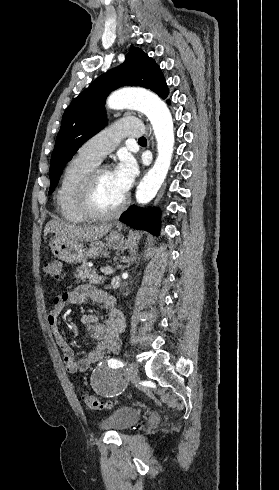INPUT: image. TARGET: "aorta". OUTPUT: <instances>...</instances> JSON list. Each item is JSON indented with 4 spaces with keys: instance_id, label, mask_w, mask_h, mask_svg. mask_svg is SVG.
Instances as JSON below:
<instances>
[{
    "instance_id": "762f6f07",
    "label": "aorta",
    "mask_w": 279,
    "mask_h": 490,
    "mask_svg": "<svg viewBox=\"0 0 279 490\" xmlns=\"http://www.w3.org/2000/svg\"><path fill=\"white\" fill-rule=\"evenodd\" d=\"M106 105L110 109L139 110L151 122L158 154L153 167L143 177L136 190L137 202L146 204L156 196L170 168L175 143L171 113L164 101L148 91H117L109 96Z\"/></svg>"
}]
</instances>
